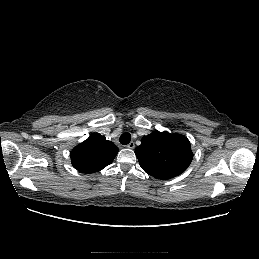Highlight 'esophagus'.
I'll return each instance as SVG.
<instances>
[{
	"instance_id": "obj_1",
	"label": "esophagus",
	"mask_w": 259,
	"mask_h": 259,
	"mask_svg": "<svg viewBox=\"0 0 259 259\" xmlns=\"http://www.w3.org/2000/svg\"><path fill=\"white\" fill-rule=\"evenodd\" d=\"M126 147L129 149H134L135 144H134V142H130Z\"/></svg>"
}]
</instances>
